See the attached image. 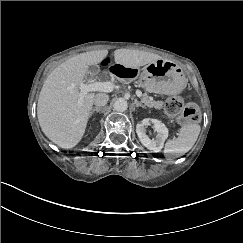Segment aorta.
Returning a JSON list of instances; mask_svg holds the SVG:
<instances>
[{
    "instance_id": "1",
    "label": "aorta",
    "mask_w": 243,
    "mask_h": 243,
    "mask_svg": "<svg viewBox=\"0 0 243 243\" xmlns=\"http://www.w3.org/2000/svg\"><path fill=\"white\" fill-rule=\"evenodd\" d=\"M113 108L115 111L117 112H124L127 110L128 108V104L127 101L124 98H118L114 104H113Z\"/></svg>"
}]
</instances>
